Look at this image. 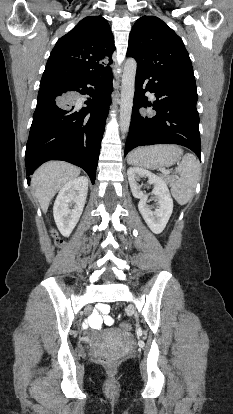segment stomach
<instances>
[{
	"label": "stomach",
	"instance_id": "obj_1",
	"mask_svg": "<svg viewBox=\"0 0 233 414\" xmlns=\"http://www.w3.org/2000/svg\"><path fill=\"white\" fill-rule=\"evenodd\" d=\"M182 150L172 145H156L138 148L132 157L142 167L156 169L172 166L180 159Z\"/></svg>",
	"mask_w": 233,
	"mask_h": 414
}]
</instances>
